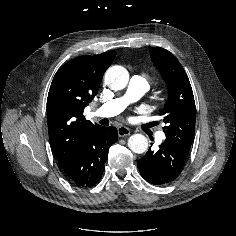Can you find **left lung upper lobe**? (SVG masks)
<instances>
[{"label": "left lung upper lobe", "mask_w": 236, "mask_h": 236, "mask_svg": "<svg viewBox=\"0 0 236 236\" xmlns=\"http://www.w3.org/2000/svg\"><path fill=\"white\" fill-rule=\"evenodd\" d=\"M154 65L167 83L168 99L160 115L168 144L188 154L195 132V101L192 87L182 65L168 50L150 48Z\"/></svg>", "instance_id": "left-lung-upper-lobe-1"}]
</instances>
